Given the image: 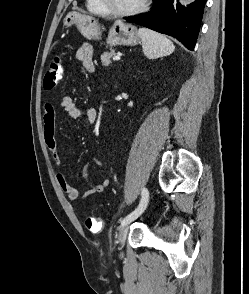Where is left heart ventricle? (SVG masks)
Returning <instances> with one entry per match:
<instances>
[{
  "instance_id": "obj_1",
  "label": "left heart ventricle",
  "mask_w": 249,
  "mask_h": 294,
  "mask_svg": "<svg viewBox=\"0 0 249 294\" xmlns=\"http://www.w3.org/2000/svg\"><path fill=\"white\" fill-rule=\"evenodd\" d=\"M115 10L125 11L136 7L142 0H106Z\"/></svg>"
}]
</instances>
